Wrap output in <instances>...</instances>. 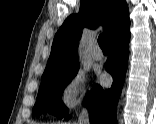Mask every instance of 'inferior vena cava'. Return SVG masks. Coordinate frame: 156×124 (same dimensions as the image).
Instances as JSON below:
<instances>
[{"label":"inferior vena cava","instance_id":"obj_1","mask_svg":"<svg viewBox=\"0 0 156 124\" xmlns=\"http://www.w3.org/2000/svg\"><path fill=\"white\" fill-rule=\"evenodd\" d=\"M89 114L86 109H82L78 118V124H89Z\"/></svg>","mask_w":156,"mask_h":124}]
</instances>
